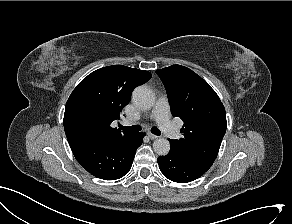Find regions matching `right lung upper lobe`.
<instances>
[{"label":"right lung upper lobe","instance_id":"1","mask_svg":"<svg viewBox=\"0 0 292 224\" xmlns=\"http://www.w3.org/2000/svg\"><path fill=\"white\" fill-rule=\"evenodd\" d=\"M152 77L123 65L98 69L84 78L71 93L65 107L64 129L68 142L124 139L134 133L112 128L120 119L132 91Z\"/></svg>","mask_w":292,"mask_h":224}]
</instances>
